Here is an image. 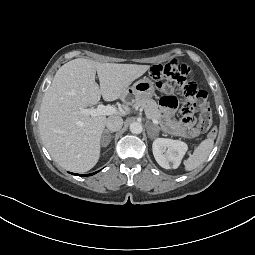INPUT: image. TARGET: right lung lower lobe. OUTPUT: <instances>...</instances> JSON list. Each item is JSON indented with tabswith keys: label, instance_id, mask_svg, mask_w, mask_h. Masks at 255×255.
Masks as SVG:
<instances>
[{
	"label": "right lung lower lobe",
	"instance_id": "1",
	"mask_svg": "<svg viewBox=\"0 0 255 255\" xmlns=\"http://www.w3.org/2000/svg\"><path fill=\"white\" fill-rule=\"evenodd\" d=\"M98 172V171H97ZM97 172H95V173H97ZM95 173H92V174H86V175H79V176H90V175H93V174H95Z\"/></svg>",
	"mask_w": 255,
	"mask_h": 255
}]
</instances>
